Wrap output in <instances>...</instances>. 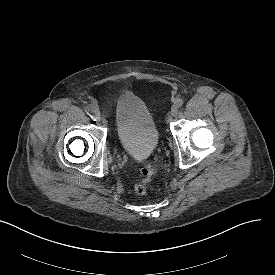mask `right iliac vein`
Wrapping results in <instances>:
<instances>
[{"label": "right iliac vein", "mask_w": 275, "mask_h": 275, "mask_svg": "<svg viewBox=\"0 0 275 275\" xmlns=\"http://www.w3.org/2000/svg\"><path fill=\"white\" fill-rule=\"evenodd\" d=\"M94 116L97 120H99L101 118V114H100V111L97 107H95V110H94Z\"/></svg>", "instance_id": "right-iliac-vein-1"}]
</instances>
